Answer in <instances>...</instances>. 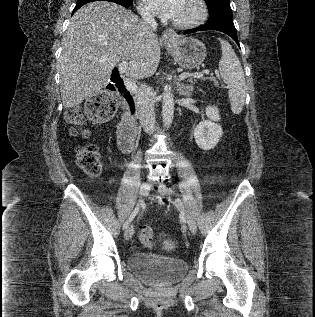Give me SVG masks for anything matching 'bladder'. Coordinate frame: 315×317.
<instances>
[{
	"mask_svg": "<svg viewBox=\"0 0 315 317\" xmlns=\"http://www.w3.org/2000/svg\"><path fill=\"white\" fill-rule=\"evenodd\" d=\"M127 267L142 281L167 286L181 279L188 264L181 258H170L147 252H136L127 258Z\"/></svg>",
	"mask_w": 315,
	"mask_h": 317,
	"instance_id": "bladder-1",
	"label": "bladder"
}]
</instances>
